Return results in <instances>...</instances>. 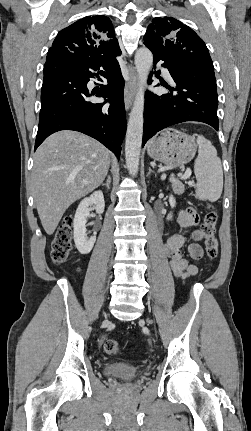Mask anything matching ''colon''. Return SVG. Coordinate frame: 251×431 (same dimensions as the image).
<instances>
[{"label":"colon","instance_id":"5ec220e1","mask_svg":"<svg viewBox=\"0 0 251 431\" xmlns=\"http://www.w3.org/2000/svg\"><path fill=\"white\" fill-rule=\"evenodd\" d=\"M218 213L214 206L207 205L206 213L201 225V232L205 238V252L209 260L213 261L219 254V242L216 237ZM72 227L73 217L67 215L58 226L51 243V259L55 264H61L67 260L72 251ZM104 351L108 355H118L120 345L113 339L104 343Z\"/></svg>","mask_w":251,"mask_h":431}]
</instances>
